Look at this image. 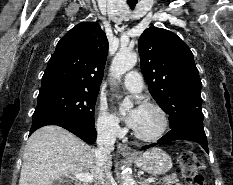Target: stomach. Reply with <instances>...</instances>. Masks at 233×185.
I'll list each match as a JSON object with an SVG mask.
<instances>
[{
    "instance_id": "0dacf381",
    "label": "stomach",
    "mask_w": 233,
    "mask_h": 185,
    "mask_svg": "<svg viewBox=\"0 0 233 185\" xmlns=\"http://www.w3.org/2000/svg\"><path fill=\"white\" fill-rule=\"evenodd\" d=\"M128 158L140 169L151 174H164L172 167L170 156L161 148H152L144 153Z\"/></svg>"
}]
</instances>
